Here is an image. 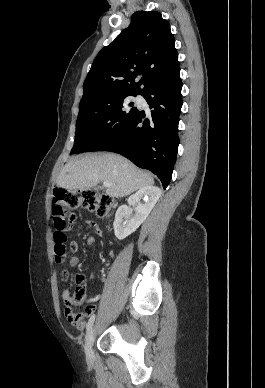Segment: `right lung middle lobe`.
Wrapping results in <instances>:
<instances>
[{"label": "right lung middle lobe", "mask_w": 265, "mask_h": 388, "mask_svg": "<svg viewBox=\"0 0 265 388\" xmlns=\"http://www.w3.org/2000/svg\"><path fill=\"white\" fill-rule=\"evenodd\" d=\"M136 96L119 90H104L82 98L71 154L101 150L135 113L125 98Z\"/></svg>", "instance_id": "1"}]
</instances>
